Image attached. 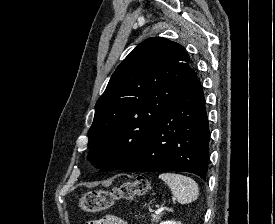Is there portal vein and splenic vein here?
Masks as SVG:
<instances>
[{
  "label": "portal vein and splenic vein",
  "instance_id": "1",
  "mask_svg": "<svg viewBox=\"0 0 275 224\" xmlns=\"http://www.w3.org/2000/svg\"><path fill=\"white\" fill-rule=\"evenodd\" d=\"M168 208L167 207H160L158 208L156 211H155V214H160L162 213L164 210H167Z\"/></svg>",
  "mask_w": 275,
  "mask_h": 224
}]
</instances>
